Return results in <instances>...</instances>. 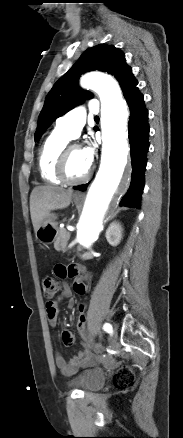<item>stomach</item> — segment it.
Returning a JSON list of instances; mask_svg holds the SVG:
<instances>
[{
	"label": "stomach",
	"mask_w": 183,
	"mask_h": 438,
	"mask_svg": "<svg viewBox=\"0 0 183 438\" xmlns=\"http://www.w3.org/2000/svg\"><path fill=\"white\" fill-rule=\"evenodd\" d=\"M75 203L80 202V198L76 195L73 196ZM57 216L54 213H48V215L40 222L35 234L36 238L43 244H51L57 238L58 227L56 222Z\"/></svg>",
	"instance_id": "stomach-1"
}]
</instances>
